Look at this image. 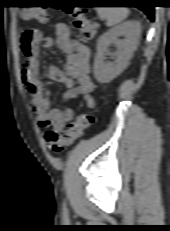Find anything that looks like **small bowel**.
<instances>
[{
    "instance_id": "c3829d8e",
    "label": "small bowel",
    "mask_w": 170,
    "mask_h": 231,
    "mask_svg": "<svg viewBox=\"0 0 170 231\" xmlns=\"http://www.w3.org/2000/svg\"><path fill=\"white\" fill-rule=\"evenodd\" d=\"M55 38L43 36L37 30H27L21 38V48L26 57L22 79L31 95L33 110L37 114L38 125L41 128L51 127L55 132H61L66 123L74 115L73 110L53 108L50 100V90L39 78L40 50L56 44L66 55L65 67L51 66L48 77L65 86L67 89L63 99L83 98L86 107H94L92 92L95 85L90 77V48L73 38L72 30L64 23L54 25Z\"/></svg>"
}]
</instances>
